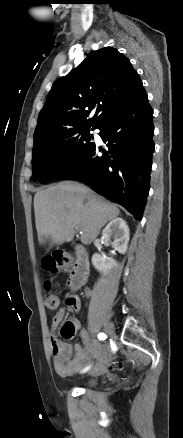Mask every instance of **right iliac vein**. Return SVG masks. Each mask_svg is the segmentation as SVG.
I'll return each instance as SVG.
<instances>
[{
    "label": "right iliac vein",
    "instance_id": "right-iliac-vein-1",
    "mask_svg": "<svg viewBox=\"0 0 183 438\" xmlns=\"http://www.w3.org/2000/svg\"><path fill=\"white\" fill-rule=\"evenodd\" d=\"M104 329L110 336H115L112 324H106Z\"/></svg>",
    "mask_w": 183,
    "mask_h": 438
}]
</instances>
